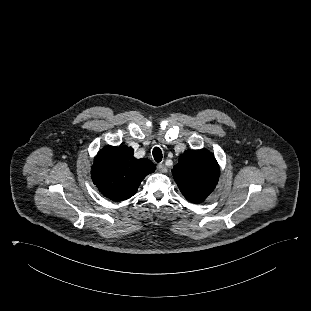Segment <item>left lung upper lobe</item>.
<instances>
[{
    "instance_id": "obj_1",
    "label": "left lung upper lobe",
    "mask_w": 311,
    "mask_h": 311,
    "mask_svg": "<svg viewBox=\"0 0 311 311\" xmlns=\"http://www.w3.org/2000/svg\"><path fill=\"white\" fill-rule=\"evenodd\" d=\"M172 174L185 198L192 203H200L215 188L220 171L214 155L202 149L181 154Z\"/></svg>"
}]
</instances>
